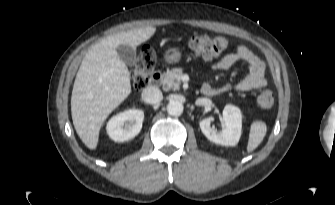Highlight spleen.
Returning a JSON list of instances; mask_svg holds the SVG:
<instances>
[{
	"label": "spleen",
	"mask_w": 335,
	"mask_h": 205,
	"mask_svg": "<svg viewBox=\"0 0 335 205\" xmlns=\"http://www.w3.org/2000/svg\"><path fill=\"white\" fill-rule=\"evenodd\" d=\"M266 132L267 126L264 122L254 121L251 124L247 152H252L260 145L266 135Z\"/></svg>",
	"instance_id": "1"
}]
</instances>
